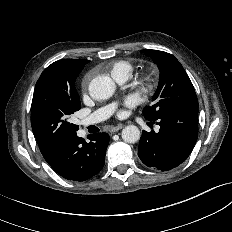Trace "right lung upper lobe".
I'll list each match as a JSON object with an SVG mask.
<instances>
[{
	"label": "right lung upper lobe",
	"mask_w": 232,
	"mask_h": 232,
	"mask_svg": "<svg viewBox=\"0 0 232 232\" xmlns=\"http://www.w3.org/2000/svg\"><path fill=\"white\" fill-rule=\"evenodd\" d=\"M84 61L83 59H65V60H59L56 61L54 63H52L51 65H49L48 67H55V66H65V65H69L72 63H77V62H81ZM56 150L52 151V152H42L43 157L45 158V160L49 163L54 155H55Z\"/></svg>",
	"instance_id": "obj_1"
}]
</instances>
